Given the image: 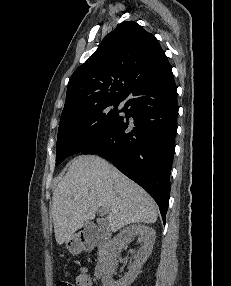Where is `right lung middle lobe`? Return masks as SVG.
Listing matches in <instances>:
<instances>
[{"instance_id":"1","label":"right lung middle lobe","mask_w":231,"mask_h":286,"mask_svg":"<svg viewBox=\"0 0 231 286\" xmlns=\"http://www.w3.org/2000/svg\"><path fill=\"white\" fill-rule=\"evenodd\" d=\"M122 101L103 102L62 116L56 145V165L65 158L82 152L120 119L118 105Z\"/></svg>"}]
</instances>
